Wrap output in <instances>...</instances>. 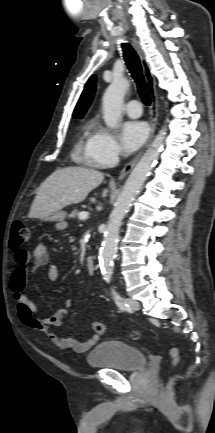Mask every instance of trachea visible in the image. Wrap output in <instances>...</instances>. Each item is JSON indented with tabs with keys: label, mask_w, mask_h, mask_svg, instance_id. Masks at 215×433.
I'll return each mask as SVG.
<instances>
[{
	"label": "trachea",
	"mask_w": 215,
	"mask_h": 433,
	"mask_svg": "<svg viewBox=\"0 0 215 433\" xmlns=\"http://www.w3.org/2000/svg\"><path fill=\"white\" fill-rule=\"evenodd\" d=\"M122 48H123L124 60L133 79L137 84L138 93L142 101L149 106L151 103V96H150L148 84L146 83L142 73V66L140 63V59L137 53L132 49V47L129 44L127 43L122 44Z\"/></svg>",
	"instance_id": "trachea-1"
}]
</instances>
